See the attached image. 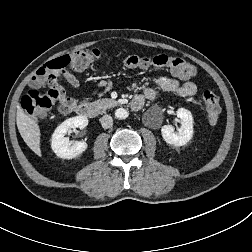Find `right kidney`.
<instances>
[{"mask_svg": "<svg viewBox=\"0 0 252 252\" xmlns=\"http://www.w3.org/2000/svg\"><path fill=\"white\" fill-rule=\"evenodd\" d=\"M88 125V119L84 116H76L62 122L54 131L51 139V148L60 158L72 159L82 154L88 147L86 142L69 141L65 134L71 128L83 129ZM72 144V145H71Z\"/></svg>", "mask_w": 252, "mask_h": 252, "instance_id": "1", "label": "right kidney"}]
</instances>
